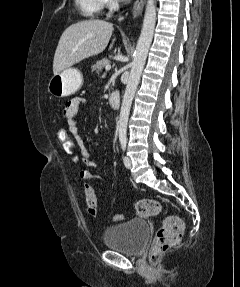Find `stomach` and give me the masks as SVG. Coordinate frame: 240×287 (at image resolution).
Here are the masks:
<instances>
[{
  "label": "stomach",
  "mask_w": 240,
  "mask_h": 287,
  "mask_svg": "<svg viewBox=\"0 0 240 287\" xmlns=\"http://www.w3.org/2000/svg\"><path fill=\"white\" fill-rule=\"evenodd\" d=\"M82 85L83 75L81 71L69 67L51 77L47 89L52 96L62 98L74 94Z\"/></svg>",
  "instance_id": "1"
}]
</instances>
